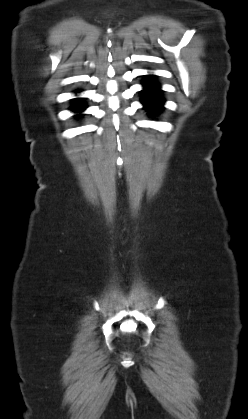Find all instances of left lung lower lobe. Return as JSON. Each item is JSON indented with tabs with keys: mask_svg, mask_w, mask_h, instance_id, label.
Segmentation results:
<instances>
[{
	"mask_svg": "<svg viewBox=\"0 0 248 419\" xmlns=\"http://www.w3.org/2000/svg\"><path fill=\"white\" fill-rule=\"evenodd\" d=\"M143 85L141 102L149 112H158L164 103L159 85L155 82L153 76H148Z\"/></svg>",
	"mask_w": 248,
	"mask_h": 419,
	"instance_id": "1",
	"label": "left lung lower lobe"
}]
</instances>
